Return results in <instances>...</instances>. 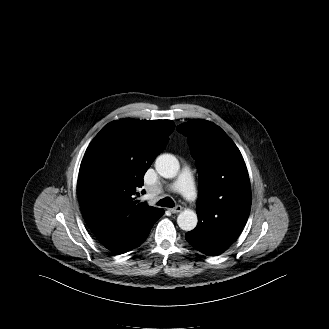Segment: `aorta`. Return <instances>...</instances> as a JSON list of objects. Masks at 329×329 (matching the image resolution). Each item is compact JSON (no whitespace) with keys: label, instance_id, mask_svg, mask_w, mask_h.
I'll list each match as a JSON object with an SVG mask.
<instances>
[{"label":"aorta","instance_id":"762f6f07","mask_svg":"<svg viewBox=\"0 0 329 329\" xmlns=\"http://www.w3.org/2000/svg\"><path fill=\"white\" fill-rule=\"evenodd\" d=\"M155 169L160 176L170 179L177 176L180 164L174 155L162 154L156 158ZM197 223V214L190 209H185L177 217V224L184 231L193 230Z\"/></svg>","mask_w":329,"mask_h":329}]
</instances>
